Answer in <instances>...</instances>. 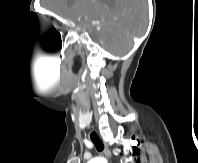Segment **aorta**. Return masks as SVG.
<instances>
[{"label":"aorta","mask_w":198,"mask_h":163,"mask_svg":"<svg viewBox=\"0 0 198 163\" xmlns=\"http://www.w3.org/2000/svg\"><path fill=\"white\" fill-rule=\"evenodd\" d=\"M88 163H107V160L103 157H95L89 160Z\"/></svg>","instance_id":"aorta-1"}]
</instances>
